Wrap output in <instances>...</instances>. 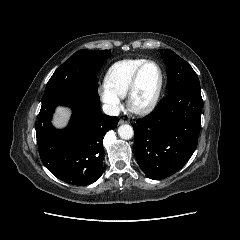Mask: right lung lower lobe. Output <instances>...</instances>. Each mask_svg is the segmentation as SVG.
Listing matches in <instances>:
<instances>
[{
	"instance_id": "right-lung-lower-lobe-1",
	"label": "right lung lower lobe",
	"mask_w": 240,
	"mask_h": 240,
	"mask_svg": "<svg viewBox=\"0 0 240 240\" xmlns=\"http://www.w3.org/2000/svg\"><path fill=\"white\" fill-rule=\"evenodd\" d=\"M58 105L69 106V126L56 130L51 124ZM119 119L101 113L99 96L64 95L42 103L36 136L44 166L57 178L73 185H89L102 173L103 137Z\"/></svg>"
}]
</instances>
